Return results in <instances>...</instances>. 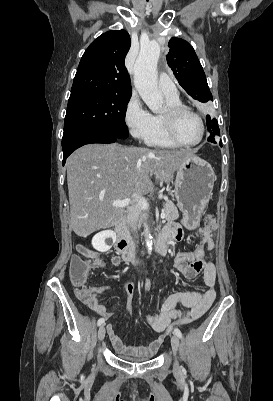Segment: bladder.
I'll use <instances>...</instances> for the list:
<instances>
[{
    "mask_svg": "<svg viewBox=\"0 0 273 401\" xmlns=\"http://www.w3.org/2000/svg\"><path fill=\"white\" fill-rule=\"evenodd\" d=\"M118 357L124 361L144 362L151 360L153 358V355H148L144 357H130V356L118 355Z\"/></svg>",
    "mask_w": 273,
    "mask_h": 401,
    "instance_id": "obj_1",
    "label": "bladder"
}]
</instances>
